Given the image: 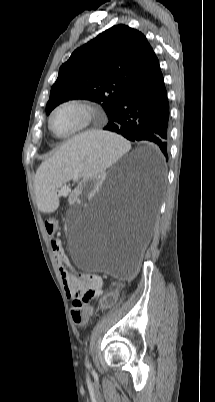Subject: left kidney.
I'll list each match as a JSON object with an SVG mask.
<instances>
[{
	"label": "left kidney",
	"mask_w": 215,
	"mask_h": 402,
	"mask_svg": "<svg viewBox=\"0 0 215 402\" xmlns=\"http://www.w3.org/2000/svg\"><path fill=\"white\" fill-rule=\"evenodd\" d=\"M105 175L106 172L104 169H97L95 175H86L84 184L75 185V190L71 194L72 199L77 200L79 199L80 195L84 200L89 199V193L96 192V187H99L100 181L104 180Z\"/></svg>",
	"instance_id": "obj_1"
}]
</instances>
